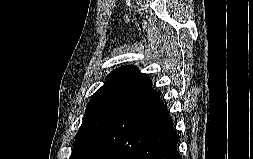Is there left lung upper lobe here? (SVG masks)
I'll return each mask as SVG.
<instances>
[{
	"instance_id": "5c2ea615",
	"label": "left lung upper lobe",
	"mask_w": 253,
	"mask_h": 159,
	"mask_svg": "<svg viewBox=\"0 0 253 159\" xmlns=\"http://www.w3.org/2000/svg\"><path fill=\"white\" fill-rule=\"evenodd\" d=\"M151 86V80L141 75L135 66L112 71L87 104L70 159H89L108 125Z\"/></svg>"
}]
</instances>
